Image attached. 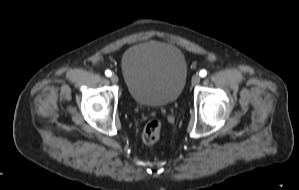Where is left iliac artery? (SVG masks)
I'll use <instances>...</instances> for the list:
<instances>
[{"instance_id": "obj_1", "label": "left iliac artery", "mask_w": 299, "mask_h": 190, "mask_svg": "<svg viewBox=\"0 0 299 190\" xmlns=\"http://www.w3.org/2000/svg\"><path fill=\"white\" fill-rule=\"evenodd\" d=\"M199 75L200 77H205L207 75V71L203 69L199 72Z\"/></svg>"}]
</instances>
